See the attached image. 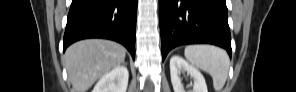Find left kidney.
<instances>
[{"instance_id": "left-kidney-1", "label": "left kidney", "mask_w": 296, "mask_h": 92, "mask_svg": "<svg viewBox=\"0 0 296 92\" xmlns=\"http://www.w3.org/2000/svg\"><path fill=\"white\" fill-rule=\"evenodd\" d=\"M183 72H187L194 80L191 92H208L205 79L200 71L179 55H173L170 59V75L174 92H186L180 77Z\"/></svg>"}]
</instances>
